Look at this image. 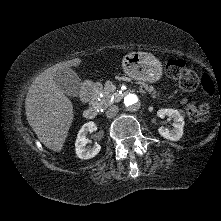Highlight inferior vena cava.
<instances>
[{
  "instance_id": "obj_1",
  "label": "inferior vena cava",
  "mask_w": 221,
  "mask_h": 221,
  "mask_svg": "<svg viewBox=\"0 0 221 221\" xmlns=\"http://www.w3.org/2000/svg\"><path fill=\"white\" fill-rule=\"evenodd\" d=\"M117 113H118V107L116 105H113L109 107V109L106 111V117L113 118Z\"/></svg>"
}]
</instances>
